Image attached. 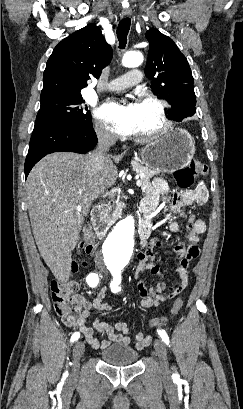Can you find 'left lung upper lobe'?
I'll list each match as a JSON object with an SVG mask.
<instances>
[{"label": "left lung upper lobe", "instance_id": "left-lung-upper-lobe-1", "mask_svg": "<svg viewBox=\"0 0 243 409\" xmlns=\"http://www.w3.org/2000/svg\"><path fill=\"white\" fill-rule=\"evenodd\" d=\"M146 37L150 48L145 75L152 80L154 94L170 103L171 119L195 112L194 80L186 57L171 38L157 29H149Z\"/></svg>", "mask_w": 243, "mask_h": 409}]
</instances>
